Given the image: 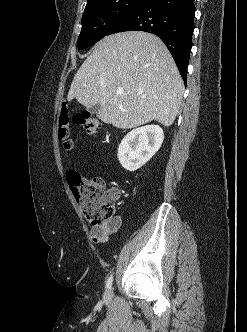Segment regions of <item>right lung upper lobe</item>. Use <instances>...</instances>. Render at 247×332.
<instances>
[{
	"label": "right lung upper lobe",
	"instance_id": "1",
	"mask_svg": "<svg viewBox=\"0 0 247 332\" xmlns=\"http://www.w3.org/2000/svg\"><path fill=\"white\" fill-rule=\"evenodd\" d=\"M97 1H99V0H88L86 7L93 4V3H95V2H97Z\"/></svg>",
	"mask_w": 247,
	"mask_h": 332
}]
</instances>
